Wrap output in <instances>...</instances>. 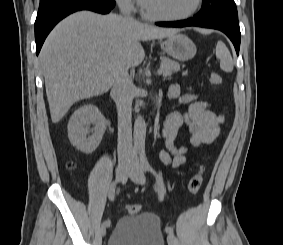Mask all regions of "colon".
I'll return each mask as SVG.
<instances>
[{
    "instance_id": "colon-1",
    "label": "colon",
    "mask_w": 283,
    "mask_h": 245,
    "mask_svg": "<svg viewBox=\"0 0 283 245\" xmlns=\"http://www.w3.org/2000/svg\"><path fill=\"white\" fill-rule=\"evenodd\" d=\"M209 81L213 86H220L223 83L222 76L216 72L211 73ZM204 167L200 166L197 172L189 179L187 188L191 194L200 192L203 183ZM126 209L129 214H136L139 212L140 207L137 204H128Z\"/></svg>"
}]
</instances>
